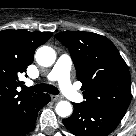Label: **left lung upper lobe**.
<instances>
[{"label":"left lung upper lobe","mask_w":136,"mask_h":136,"mask_svg":"<svg viewBox=\"0 0 136 136\" xmlns=\"http://www.w3.org/2000/svg\"><path fill=\"white\" fill-rule=\"evenodd\" d=\"M55 37L70 51L82 82L83 103L125 114L131 99L130 73L114 44L91 32L66 31Z\"/></svg>","instance_id":"left-lung-upper-lobe-1"}]
</instances>
